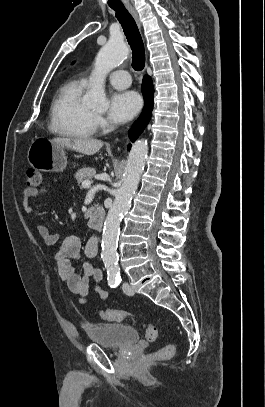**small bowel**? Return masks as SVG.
Masks as SVG:
<instances>
[{"label": "small bowel", "mask_w": 265, "mask_h": 407, "mask_svg": "<svg viewBox=\"0 0 265 407\" xmlns=\"http://www.w3.org/2000/svg\"><path fill=\"white\" fill-rule=\"evenodd\" d=\"M48 193H50V191L47 189L26 187L22 194V205L25 211L28 214H34V209L29 203L30 200L39 195ZM36 231L47 245H54L60 240V234L57 231H52L43 224L36 225ZM97 250L98 244L95 238H90L83 248L82 238L80 236L69 235L64 238L54 254V260L56 261L61 280L72 293L79 296V302L81 304L87 303V298L92 289L91 281L94 282L93 289L100 300L106 301L108 298V292L100 286V282L103 278L101 269L95 267L91 262H85L82 266L83 273L80 275L72 266V262L80 260L83 252L88 258H93L96 256Z\"/></svg>", "instance_id": "obj_1"}]
</instances>
